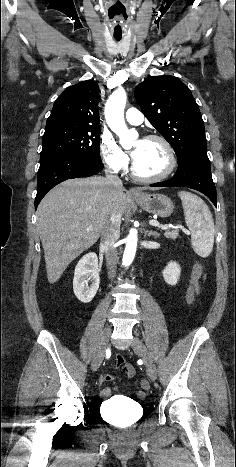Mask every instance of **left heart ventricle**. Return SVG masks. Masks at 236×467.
<instances>
[{
	"label": "left heart ventricle",
	"instance_id": "1",
	"mask_svg": "<svg viewBox=\"0 0 236 467\" xmlns=\"http://www.w3.org/2000/svg\"><path fill=\"white\" fill-rule=\"evenodd\" d=\"M133 150H138L134 159L137 171L145 176L162 173L168 165V156L164 146L158 141H135Z\"/></svg>",
	"mask_w": 236,
	"mask_h": 467
}]
</instances>
